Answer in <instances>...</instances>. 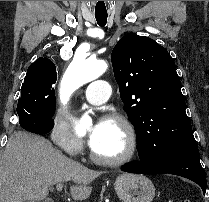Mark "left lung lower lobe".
I'll list each match as a JSON object with an SVG mask.
<instances>
[{"instance_id":"left-lung-lower-lobe-1","label":"left lung lower lobe","mask_w":209,"mask_h":202,"mask_svg":"<svg viewBox=\"0 0 209 202\" xmlns=\"http://www.w3.org/2000/svg\"><path fill=\"white\" fill-rule=\"evenodd\" d=\"M139 161L122 167V171L141 174L169 173L185 177L197 183L206 192V177L200 164L199 151L194 138H189L160 158H151L139 152Z\"/></svg>"}]
</instances>
